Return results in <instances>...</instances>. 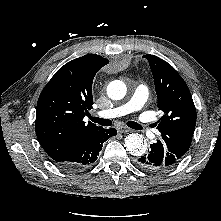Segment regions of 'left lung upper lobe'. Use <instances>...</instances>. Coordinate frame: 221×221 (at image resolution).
Listing matches in <instances>:
<instances>
[{
    "label": "left lung upper lobe",
    "mask_w": 221,
    "mask_h": 221,
    "mask_svg": "<svg viewBox=\"0 0 221 221\" xmlns=\"http://www.w3.org/2000/svg\"><path fill=\"white\" fill-rule=\"evenodd\" d=\"M148 59L155 81L158 108L163 116L157 122L161 142L178 163L188 151L196 124V109L185 81L166 61L154 55Z\"/></svg>",
    "instance_id": "left-lung-upper-lobe-1"
}]
</instances>
